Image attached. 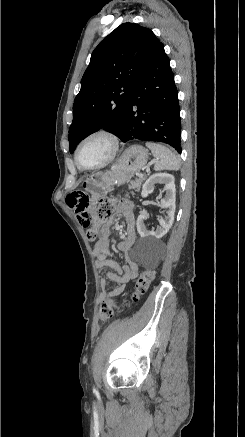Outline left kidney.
<instances>
[{
  "label": "left kidney",
  "instance_id": "left-kidney-1",
  "mask_svg": "<svg viewBox=\"0 0 245 437\" xmlns=\"http://www.w3.org/2000/svg\"><path fill=\"white\" fill-rule=\"evenodd\" d=\"M155 183L164 184L163 191H166V196L161 200V206L167 209V216L159 219V226L156 230H147L144 221L147 219L146 214H140L137 218V231L142 238H162L171 228L174 221L176 189L174 184V176L168 173H156L150 176L144 183L141 196L147 197L154 190Z\"/></svg>",
  "mask_w": 245,
  "mask_h": 437
}]
</instances>
